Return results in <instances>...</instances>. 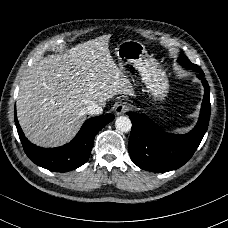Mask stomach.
I'll return each mask as SVG.
<instances>
[{
  "instance_id": "obj_1",
  "label": "stomach",
  "mask_w": 228,
  "mask_h": 228,
  "mask_svg": "<svg viewBox=\"0 0 228 228\" xmlns=\"http://www.w3.org/2000/svg\"><path fill=\"white\" fill-rule=\"evenodd\" d=\"M116 55L119 66H124V63L131 64L138 71L154 97L164 96L168 88L165 73L152 64L154 59L142 43L126 40L117 46Z\"/></svg>"
}]
</instances>
